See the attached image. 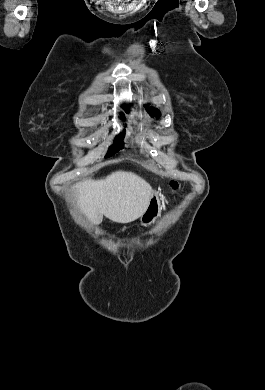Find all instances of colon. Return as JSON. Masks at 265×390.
<instances>
[{
  "label": "colon",
  "mask_w": 265,
  "mask_h": 390,
  "mask_svg": "<svg viewBox=\"0 0 265 390\" xmlns=\"http://www.w3.org/2000/svg\"><path fill=\"white\" fill-rule=\"evenodd\" d=\"M170 187L173 189V190H178L179 189V184L177 181L175 180H171L170 183H169Z\"/></svg>",
  "instance_id": "obj_1"
}]
</instances>
